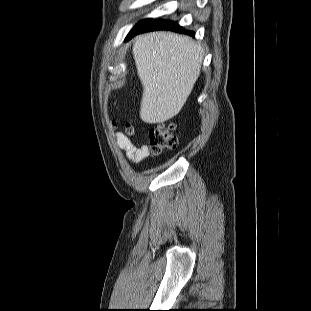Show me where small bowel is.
<instances>
[{
    "label": "small bowel",
    "instance_id": "c3829d8e",
    "mask_svg": "<svg viewBox=\"0 0 311 311\" xmlns=\"http://www.w3.org/2000/svg\"><path fill=\"white\" fill-rule=\"evenodd\" d=\"M116 144L126 154L127 159L134 164L143 161L149 154V149L146 145L137 146L124 133L116 134Z\"/></svg>",
    "mask_w": 311,
    "mask_h": 311
}]
</instances>
